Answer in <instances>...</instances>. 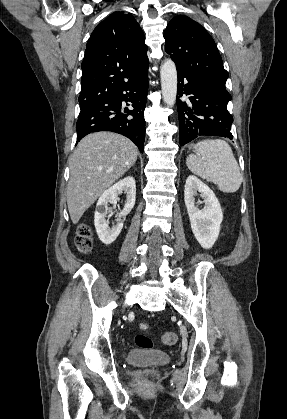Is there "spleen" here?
Listing matches in <instances>:
<instances>
[{"mask_svg":"<svg viewBox=\"0 0 287 419\" xmlns=\"http://www.w3.org/2000/svg\"><path fill=\"white\" fill-rule=\"evenodd\" d=\"M194 148L195 154L186 160L192 173L214 183L224 193H234L239 189L243 177L227 142L207 139L198 142Z\"/></svg>","mask_w":287,"mask_h":419,"instance_id":"3e777b00","label":"spleen"}]
</instances>
